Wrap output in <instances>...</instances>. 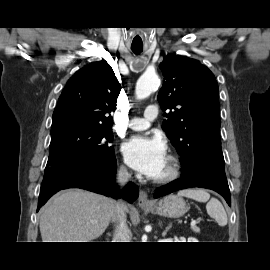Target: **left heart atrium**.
Returning a JSON list of instances; mask_svg holds the SVG:
<instances>
[{
    "mask_svg": "<svg viewBox=\"0 0 270 270\" xmlns=\"http://www.w3.org/2000/svg\"><path fill=\"white\" fill-rule=\"evenodd\" d=\"M126 162L149 178H156L167 160L166 145L158 137L135 136L121 147Z\"/></svg>",
    "mask_w": 270,
    "mask_h": 270,
    "instance_id": "left-heart-atrium-1",
    "label": "left heart atrium"
}]
</instances>
